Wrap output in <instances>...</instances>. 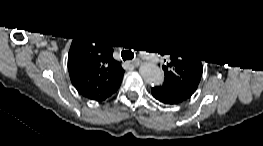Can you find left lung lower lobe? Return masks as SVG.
Wrapping results in <instances>:
<instances>
[{
  "label": "left lung lower lobe",
  "mask_w": 263,
  "mask_h": 146,
  "mask_svg": "<svg viewBox=\"0 0 263 146\" xmlns=\"http://www.w3.org/2000/svg\"><path fill=\"white\" fill-rule=\"evenodd\" d=\"M151 92L157 100L165 104L174 105L181 103L189 98L179 92L177 88H175L169 82H164L162 85L153 87Z\"/></svg>",
  "instance_id": "1"
}]
</instances>
